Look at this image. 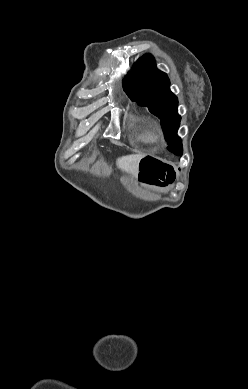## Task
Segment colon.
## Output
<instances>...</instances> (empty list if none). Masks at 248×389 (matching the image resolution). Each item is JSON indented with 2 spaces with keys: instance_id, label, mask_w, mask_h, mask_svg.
<instances>
[{
  "instance_id": "colon-1",
  "label": "colon",
  "mask_w": 248,
  "mask_h": 389,
  "mask_svg": "<svg viewBox=\"0 0 248 389\" xmlns=\"http://www.w3.org/2000/svg\"><path fill=\"white\" fill-rule=\"evenodd\" d=\"M142 167V181L145 183L165 187L174 180V171L169 161H160L159 157H140Z\"/></svg>"
}]
</instances>
